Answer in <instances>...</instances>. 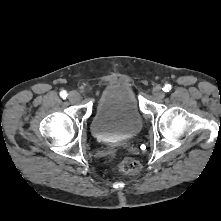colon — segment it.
Segmentation results:
<instances>
[{
    "label": "colon",
    "instance_id": "1",
    "mask_svg": "<svg viewBox=\"0 0 221 221\" xmlns=\"http://www.w3.org/2000/svg\"><path fill=\"white\" fill-rule=\"evenodd\" d=\"M120 172L128 175H135L140 171V164L131 157H125L117 162Z\"/></svg>",
    "mask_w": 221,
    "mask_h": 221
}]
</instances>
